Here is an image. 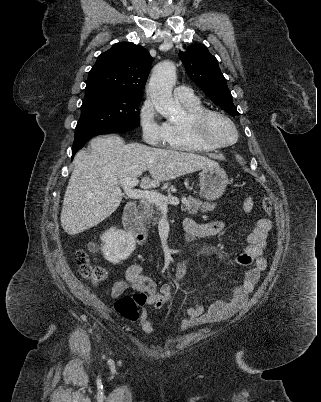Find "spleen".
<instances>
[{"label": "spleen", "mask_w": 321, "mask_h": 402, "mask_svg": "<svg viewBox=\"0 0 321 402\" xmlns=\"http://www.w3.org/2000/svg\"><path fill=\"white\" fill-rule=\"evenodd\" d=\"M252 207H253V201H252V198L249 197L244 201V204H243L244 211L250 212L252 210Z\"/></svg>", "instance_id": "1"}]
</instances>
